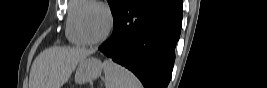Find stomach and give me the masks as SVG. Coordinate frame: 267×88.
Wrapping results in <instances>:
<instances>
[{
  "label": "stomach",
  "instance_id": "obj_1",
  "mask_svg": "<svg viewBox=\"0 0 267 88\" xmlns=\"http://www.w3.org/2000/svg\"><path fill=\"white\" fill-rule=\"evenodd\" d=\"M104 69L103 63L94 57H88L79 62L75 74V82L84 84L100 77Z\"/></svg>",
  "mask_w": 267,
  "mask_h": 88
}]
</instances>
